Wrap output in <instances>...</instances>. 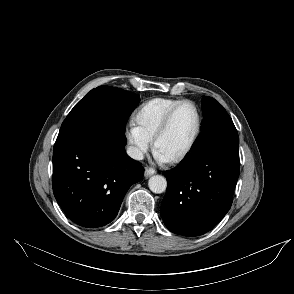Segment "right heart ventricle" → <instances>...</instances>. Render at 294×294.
Listing matches in <instances>:
<instances>
[{
	"label": "right heart ventricle",
	"instance_id": "obj_1",
	"mask_svg": "<svg viewBox=\"0 0 294 294\" xmlns=\"http://www.w3.org/2000/svg\"><path fill=\"white\" fill-rule=\"evenodd\" d=\"M181 100L158 97L146 101L135 114L137 126L152 140L167 112Z\"/></svg>",
	"mask_w": 294,
	"mask_h": 294
}]
</instances>
